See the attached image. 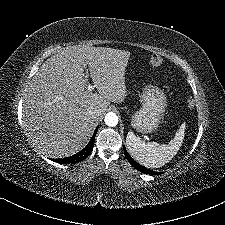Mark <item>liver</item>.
Returning <instances> with one entry per match:
<instances>
[{
    "instance_id": "1",
    "label": "liver",
    "mask_w": 225,
    "mask_h": 225,
    "mask_svg": "<svg viewBox=\"0 0 225 225\" xmlns=\"http://www.w3.org/2000/svg\"><path fill=\"white\" fill-rule=\"evenodd\" d=\"M131 53L73 46L53 55L32 78L23 119L33 147L50 157L69 156L89 140L110 102L127 96L125 72ZM89 68L98 94L87 90ZM97 111V119L89 112Z\"/></svg>"
}]
</instances>
